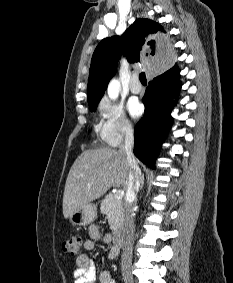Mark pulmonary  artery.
I'll use <instances>...</instances> for the list:
<instances>
[{
	"mask_svg": "<svg viewBox=\"0 0 233 283\" xmlns=\"http://www.w3.org/2000/svg\"><path fill=\"white\" fill-rule=\"evenodd\" d=\"M130 91L133 94H139L142 91V86L139 82V77L137 74H133L130 82Z\"/></svg>",
	"mask_w": 233,
	"mask_h": 283,
	"instance_id": "obj_1",
	"label": "pulmonary artery"
}]
</instances>
